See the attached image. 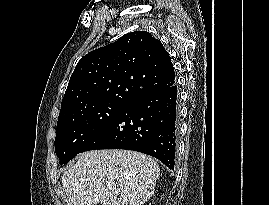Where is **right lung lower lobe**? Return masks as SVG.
<instances>
[{
  "label": "right lung lower lobe",
  "mask_w": 269,
  "mask_h": 205,
  "mask_svg": "<svg viewBox=\"0 0 269 205\" xmlns=\"http://www.w3.org/2000/svg\"><path fill=\"white\" fill-rule=\"evenodd\" d=\"M179 127L177 86L145 95L114 117L81 152L127 149L151 155L174 169Z\"/></svg>",
  "instance_id": "98d812e1"
}]
</instances>
